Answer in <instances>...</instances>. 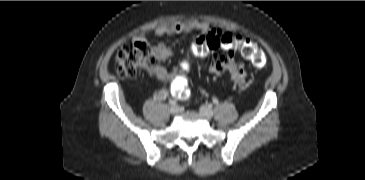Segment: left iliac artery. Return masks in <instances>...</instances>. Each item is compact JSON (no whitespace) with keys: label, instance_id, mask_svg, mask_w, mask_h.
I'll list each match as a JSON object with an SVG mask.
<instances>
[{"label":"left iliac artery","instance_id":"left-iliac-artery-1","mask_svg":"<svg viewBox=\"0 0 365 180\" xmlns=\"http://www.w3.org/2000/svg\"><path fill=\"white\" fill-rule=\"evenodd\" d=\"M213 103H214V104H218V99H217V98H214V99H213Z\"/></svg>","mask_w":365,"mask_h":180}]
</instances>
